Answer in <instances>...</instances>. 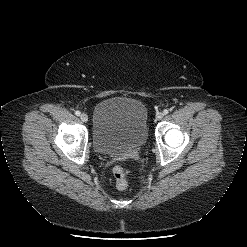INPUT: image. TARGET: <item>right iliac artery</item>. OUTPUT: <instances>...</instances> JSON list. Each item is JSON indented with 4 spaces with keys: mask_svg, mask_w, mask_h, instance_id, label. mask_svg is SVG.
Wrapping results in <instances>:
<instances>
[{
    "mask_svg": "<svg viewBox=\"0 0 247 247\" xmlns=\"http://www.w3.org/2000/svg\"><path fill=\"white\" fill-rule=\"evenodd\" d=\"M80 114H81L80 111H78V110L75 111V115L80 116Z\"/></svg>",
    "mask_w": 247,
    "mask_h": 247,
    "instance_id": "82829eb1",
    "label": "right iliac artery"
}]
</instances>
